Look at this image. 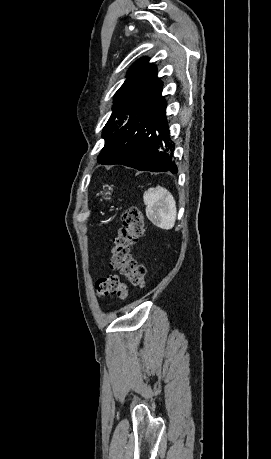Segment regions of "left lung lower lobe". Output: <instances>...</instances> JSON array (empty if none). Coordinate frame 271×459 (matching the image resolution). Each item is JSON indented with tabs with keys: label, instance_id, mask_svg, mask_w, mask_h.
Listing matches in <instances>:
<instances>
[{
	"label": "left lung lower lobe",
	"instance_id": "left-lung-lower-lobe-1",
	"mask_svg": "<svg viewBox=\"0 0 271 459\" xmlns=\"http://www.w3.org/2000/svg\"><path fill=\"white\" fill-rule=\"evenodd\" d=\"M162 86L155 94L150 111L141 117H130L108 138L109 149L100 164H122L152 172H178L173 160Z\"/></svg>",
	"mask_w": 271,
	"mask_h": 459
}]
</instances>
